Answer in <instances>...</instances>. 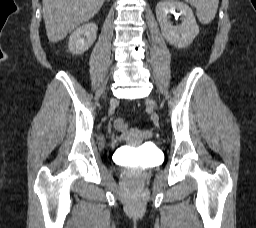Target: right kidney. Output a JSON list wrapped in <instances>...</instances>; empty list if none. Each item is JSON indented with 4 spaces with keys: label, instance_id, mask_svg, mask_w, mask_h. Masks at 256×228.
Returning <instances> with one entry per match:
<instances>
[{
    "label": "right kidney",
    "instance_id": "1",
    "mask_svg": "<svg viewBox=\"0 0 256 228\" xmlns=\"http://www.w3.org/2000/svg\"><path fill=\"white\" fill-rule=\"evenodd\" d=\"M97 36V25L87 23L77 28L69 38L68 48L72 54H82L94 43Z\"/></svg>",
    "mask_w": 256,
    "mask_h": 228
}]
</instances>
